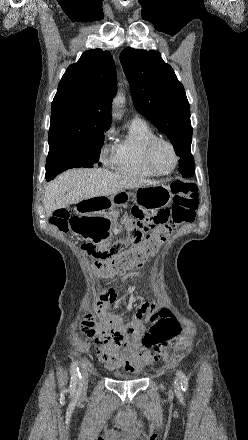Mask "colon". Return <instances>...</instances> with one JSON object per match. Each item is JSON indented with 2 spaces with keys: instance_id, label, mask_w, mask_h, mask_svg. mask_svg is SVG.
I'll use <instances>...</instances> for the list:
<instances>
[{
  "instance_id": "obj_1",
  "label": "colon",
  "mask_w": 248,
  "mask_h": 440,
  "mask_svg": "<svg viewBox=\"0 0 248 440\" xmlns=\"http://www.w3.org/2000/svg\"><path fill=\"white\" fill-rule=\"evenodd\" d=\"M171 189L174 194V202L171 208L160 209L151 214L144 205L136 206L128 219L131 228L128 241L136 246L132 252H121L122 245L115 244L107 249H98L92 246H83V250L94 256L96 268L103 278H109L117 272H121L134 265H141L157 247L165 242L171 234L172 228L180 223L192 220L197 207V191L193 184L180 180L173 181ZM70 213L67 210H57L50 223L61 231L70 228ZM109 290L104 295L105 299L111 296ZM157 317H159L157 319ZM157 321L145 335L146 346L161 344L173 338L179 332L177 323L170 318L166 310L152 317Z\"/></svg>"
}]
</instances>
